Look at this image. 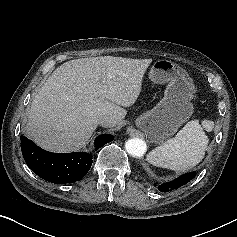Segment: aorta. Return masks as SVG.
<instances>
[{
    "label": "aorta",
    "mask_w": 237,
    "mask_h": 237,
    "mask_svg": "<svg viewBox=\"0 0 237 237\" xmlns=\"http://www.w3.org/2000/svg\"><path fill=\"white\" fill-rule=\"evenodd\" d=\"M125 149L130 155L140 157L146 151V143L140 138H131L126 141Z\"/></svg>",
    "instance_id": "762f6f07"
}]
</instances>
